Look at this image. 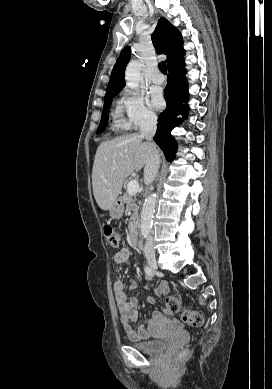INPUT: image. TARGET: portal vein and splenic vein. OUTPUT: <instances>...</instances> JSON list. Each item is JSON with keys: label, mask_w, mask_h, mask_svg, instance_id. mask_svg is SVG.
Listing matches in <instances>:
<instances>
[{"label": "portal vein and splenic vein", "mask_w": 272, "mask_h": 389, "mask_svg": "<svg viewBox=\"0 0 272 389\" xmlns=\"http://www.w3.org/2000/svg\"><path fill=\"white\" fill-rule=\"evenodd\" d=\"M139 190V183L137 180H131L127 185V192L131 195H135Z\"/></svg>", "instance_id": "18ae733b"}]
</instances>
